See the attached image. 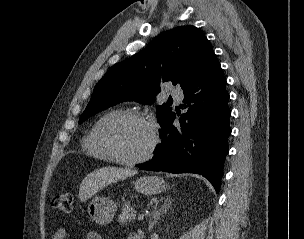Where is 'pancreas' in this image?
I'll return each mask as SVG.
<instances>
[{
    "label": "pancreas",
    "instance_id": "cf45deb5",
    "mask_svg": "<svg viewBox=\"0 0 304 239\" xmlns=\"http://www.w3.org/2000/svg\"><path fill=\"white\" fill-rule=\"evenodd\" d=\"M135 219V210L128 202L123 204L118 221L122 224H127Z\"/></svg>",
    "mask_w": 304,
    "mask_h": 239
}]
</instances>
